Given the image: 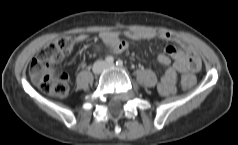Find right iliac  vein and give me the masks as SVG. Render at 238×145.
<instances>
[{"label": "right iliac vein", "mask_w": 238, "mask_h": 145, "mask_svg": "<svg viewBox=\"0 0 238 145\" xmlns=\"http://www.w3.org/2000/svg\"><path fill=\"white\" fill-rule=\"evenodd\" d=\"M103 68H104V63L102 61H98L94 64L92 71L94 74H99Z\"/></svg>", "instance_id": "1"}]
</instances>
